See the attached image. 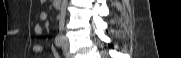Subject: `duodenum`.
Segmentation results:
<instances>
[{"mask_svg": "<svg viewBox=\"0 0 181 58\" xmlns=\"http://www.w3.org/2000/svg\"><path fill=\"white\" fill-rule=\"evenodd\" d=\"M62 1L61 0H53V6L55 8H60Z\"/></svg>", "mask_w": 181, "mask_h": 58, "instance_id": "1", "label": "duodenum"}]
</instances>
